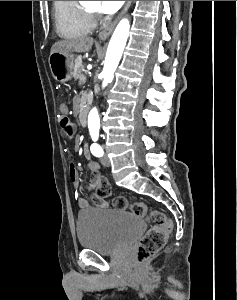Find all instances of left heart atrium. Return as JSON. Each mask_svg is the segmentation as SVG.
Here are the masks:
<instances>
[{
    "mask_svg": "<svg viewBox=\"0 0 237 300\" xmlns=\"http://www.w3.org/2000/svg\"><path fill=\"white\" fill-rule=\"evenodd\" d=\"M124 1H101L100 9L105 14H113L118 11Z\"/></svg>",
    "mask_w": 237,
    "mask_h": 300,
    "instance_id": "1",
    "label": "left heart atrium"
}]
</instances>
